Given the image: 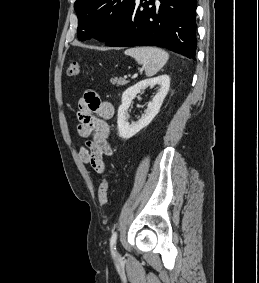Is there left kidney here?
I'll list each match as a JSON object with an SVG mask.
<instances>
[{
  "label": "left kidney",
  "mask_w": 259,
  "mask_h": 283,
  "mask_svg": "<svg viewBox=\"0 0 259 283\" xmlns=\"http://www.w3.org/2000/svg\"><path fill=\"white\" fill-rule=\"evenodd\" d=\"M155 85H158L160 88L158 93L153 97L152 101L148 103L147 110L137 122L129 124L127 121V111L131 105L133 98L147 87H152ZM169 87V76L161 75L152 79L142 80L124 91L122 95V104L118 109L117 124L119 137L123 139H129L144 127L148 126L154 119V117L158 114L160 107L168 93Z\"/></svg>",
  "instance_id": "1"
}]
</instances>
